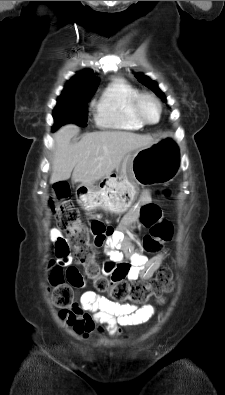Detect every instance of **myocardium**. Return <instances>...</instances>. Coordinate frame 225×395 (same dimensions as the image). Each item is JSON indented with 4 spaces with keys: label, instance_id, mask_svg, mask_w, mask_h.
Masks as SVG:
<instances>
[{
    "label": "myocardium",
    "instance_id": "myocardium-1",
    "mask_svg": "<svg viewBox=\"0 0 225 395\" xmlns=\"http://www.w3.org/2000/svg\"><path fill=\"white\" fill-rule=\"evenodd\" d=\"M145 100L152 101L157 108L158 116L155 121H149L143 115L142 104ZM132 110H133V113H134V116L136 117V119L143 125H155V124L159 123V121L161 120V117H162V112H163L161 101L158 99V97H156L154 94L149 93V92H140L136 95V97L134 98V100L132 102Z\"/></svg>",
    "mask_w": 225,
    "mask_h": 395
}]
</instances>
